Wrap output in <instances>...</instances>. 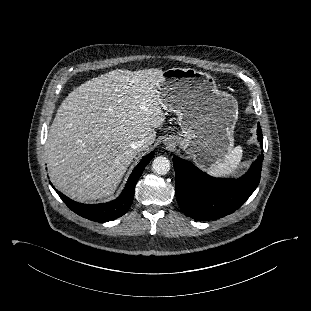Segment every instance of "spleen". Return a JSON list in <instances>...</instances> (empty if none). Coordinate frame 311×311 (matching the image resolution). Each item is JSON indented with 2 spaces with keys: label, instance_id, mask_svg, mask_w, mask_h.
Returning a JSON list of instances; mask_svg holds the SVG:
<instances>
[{
  "label": "spleen",
  "instance_id": "obj_1",
  "mask_svg": "<svg viewBox=\"0 0 311 311\" xmlns=\"http://www.w3.org/2000/svg\"><path fill=\"white\" fill-rule=\"evenodd\" d=\"M242 157V147L237 146L233 148L223 160L207 169V172L215 177H226L232 175L238 170Z\"/></svg>",
  "mask_w": 311,
  "mask_h": 311
}]
</instances>
